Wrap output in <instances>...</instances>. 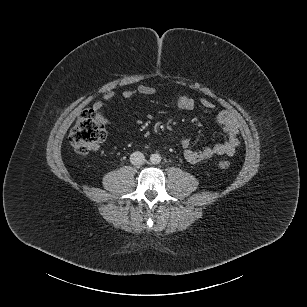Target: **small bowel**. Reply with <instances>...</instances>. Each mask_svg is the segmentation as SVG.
Instances as JSON below:
<instances>
[{
	"label": "small bowel",
	"instance_id": "c3829d8e",
	"mask_svg": "<svg viewBox=\"0 0 307 307\" xmlns=\"http://www.w3.org/2000/svg\"><path fill=\"white\" fill-rule=\"evenodd\" d=\"M156 92V89L148 84H140L136 89H127L121 93V96L125 99H129L135 95L150 96ZM116 98V94L113 91L106 92L102 100H97L93 103L92 108L96 112L98 118L103 124H107L109 120L105 117L103 112L104 103H110ZM177 107L181 110L190 111L193 110L198 104L208 111L216 110V105L206 99H200L197 102L195 99L189 96H180L177 99ZM213 121L219 125L227 139L221 143L215 144L211 147H204L199 150H195L191 147L189 138L182 140V148L184 158L192 164L202 162L210 159L213 156H233L237 147L240 144L239 128L235 119L225 111H216L213 115Z\"/></svg>",
	"mask_w": 307,
	"mask_h": 307
}]
</instances>
